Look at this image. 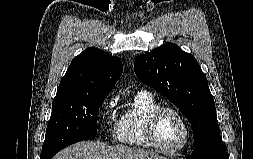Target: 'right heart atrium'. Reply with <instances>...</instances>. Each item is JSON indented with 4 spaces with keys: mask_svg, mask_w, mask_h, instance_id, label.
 <instances>
[{
    "mask_svg": "<svg viewBox=\"0 0 253 159\" xmlns=\"http://www.w3.org/2000/svg\"><path fill=\"white\" fill-rule=\"evenodd\" d=\"M117 103H118V97L117 96H113L111 97L105 104L104 106V111L106 113H110L112 112L116 106H117Z\"/></svg>",
    "mask_w": 253,
    "mask_h": 159,
    "instance_id": "obj_1",
    "label": "right heart atrium"
}]
</instances>
